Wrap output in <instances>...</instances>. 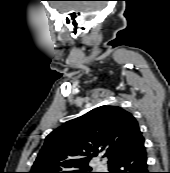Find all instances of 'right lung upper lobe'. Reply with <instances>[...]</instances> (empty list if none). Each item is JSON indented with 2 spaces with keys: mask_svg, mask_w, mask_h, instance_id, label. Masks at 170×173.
Masks as SVG:
<instances>
[{
  "mask_svg": "<svg viewBox=\"0 0 170 173\" xmlns=\"http://www.w3.org/2000/svg\"><path fill=\"white\" fill-rule=\"evenodd\" d=\"M144 138L133 115L119 106H100L51 132L30 173H71L89 169L105 151L108 165L139 148Z\"/></svg>",
  "mask_w": 170,
  "mask_h": 173,
  "instance_id": "obj_1",
  "label": "right lung upper lobe"
}]
</instances>
